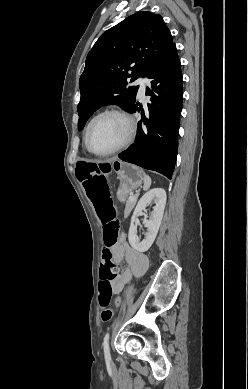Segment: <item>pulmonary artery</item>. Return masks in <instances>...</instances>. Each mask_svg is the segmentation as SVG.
<instances>
[{
    "instance_id": "e3ab8cb5",
    "label": "pulmonary artery",
    "mask_w": 248,
    "mask_h": 389,
    "mask_svg": "<svg viewBox=\"0 0 248 389\" xmlns=\"http://www.w3.org/2000/svg\"><path fill=\"white\" fill-rule=\"evenodd\" d=\"M137 84H139V95L140 97H144L145 95V89L148 84V79L145 77H140L137 79Z\"/></svg>"
}]
</instances>
